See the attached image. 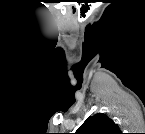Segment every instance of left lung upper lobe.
I'll use <instances>...</instances> for the list:
<instances>
[{"instance_id":"left-lung-upper-lobe-1","label":"left lung upper lobe","mask_w":145,"mask_h":134,"mask_svg":"<svg viewBox=\"0 0 145 134\" xmlns=\"http://www.w3.org/2000/svg\"><path fill=\"white\" fill-rule=\"evenodd\" d=\"M120 129L106 114L89 116L78 128L76 134H120Z\"/></svg>"}]
</instances>
